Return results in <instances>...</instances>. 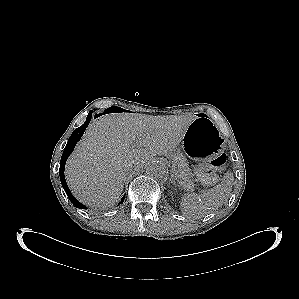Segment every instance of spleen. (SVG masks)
<instances>
[{
    "label": "spleen",
    "mask_w": 299,
    "mask_h": 299,
    "mask_svg": "<svg viewBox=\"0 0 299 299\" xmlns=\"http://www.w3.org/2000/svg\"><path fill=\"white\" fill-rule=\"evenodd\" d=\"M234 181L232 173H227L224 180L215 187L206 190L203 194L186 193L181 199V212L192 218L200 219L221 207L228 199Z\"/></svg>",
    "instance_id": "1"
}]
</instances>
